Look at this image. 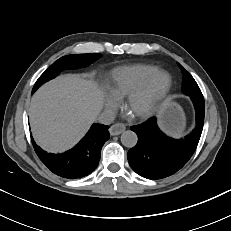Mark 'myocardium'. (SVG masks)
<instances>
[{"mask_svg":"<svg viewBox=\"0 0 231 231\" xmlns=\"http://www.w3.org/2000/svg\"><path fill=\"white\" fill-rule=\"evenodd\" d=\"M155 85H160L159 93L142 109L131 111L134 100L148 92ZM172 88V77L165 71H159L143 81L139 86L126 95L125 108L130 110L132 115L139 119L149 118L154 115L166 100Z\"/></svg>","mask_w":231,"mask_h":231,"instance_id":"myocardium-1","label":"myocardium"}]
</instances>
